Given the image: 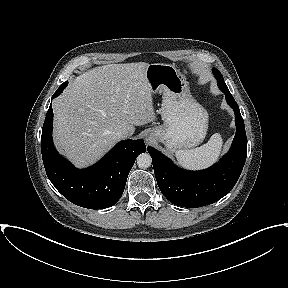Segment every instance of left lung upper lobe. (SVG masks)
Returning a JSON list of instances; mask_svg holds the SVG:
<instances>
[{
	"label": "left lung upper lobe",
	"instance_id": "left-lung-upper-lobe-1",
	"mask_svg": "<svg viewBox=\"0 0 288 288\" xmlns=\"http://www.w3.org/2000/svg\"><path fill=\"white\" fill-rule=\"evenodd\" d=\"M213 73L215 74L218 80V87L220 88V90L223 92H227V91L229 92L228 87L224 82L222 74L216 68H213Z\"/></svg>",
	"mask_w": 288,
	"mask_h": 288
}]
</instances>
